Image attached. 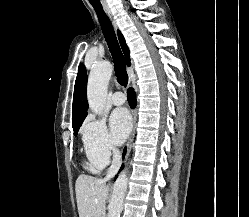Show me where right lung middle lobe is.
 I'll list each match as a JSON object with an SVG mask.
<instances>
[{
	"instance_id": "obj_1",
	"label": "right lung middle lobe",
	"mask_w": 249,
	"mask_h": 217,
	"mask_svg": "<svg viewBox=\"0 0 249 217\" xmlns=\"http://www.w3.org/2000/svg\"><path fill=\"white\" fill-rule=\"evenodd\" d=\"M81 124H82V123H79L78 125L73 126V131H74V135H75V136L77 135L78 130H79V128H80V126H81Z\"/></svg>"
}]
</instances>
